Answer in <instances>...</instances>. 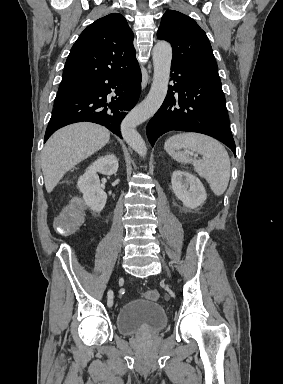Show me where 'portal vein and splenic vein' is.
Returning <instances> with one entry per match:
<instances>
[{
    "label": "portal vein and splenic vein",
    "mask_w": 283,
    "mask_h": 384,
    "mask_svg": "<svg viewBox=\"0 0 283 384\" xmlns=\"http://www.w3.org/2000/svg\"><path fill=\"white\" fill-rule=\"evenodd\" d=\"M189 156H194V158H198V154H194V152H188Z\"/></svg>",
    "instance_id": "18ae733b"
}]
</instances>
